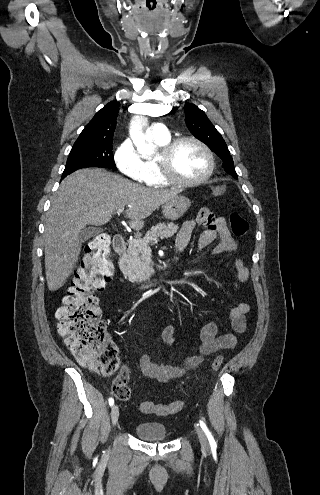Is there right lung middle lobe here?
<instances>
[{"label": "right lung middle lobe", "mask_w": 320, "mask_h": 495, "mask_svg": "<svg viewBox=\"0 0 320 495\" xmlns=\"http://www.w3.org/2000/svg\"><path fill=\"white\" fill-rule=\"evenodd\" d=\"M86 167L115 169L112 144H87L72 147L62 178Z\"/></svg>", "instance_id": "right-lung-middle-lobe-1"}]
</instances>
